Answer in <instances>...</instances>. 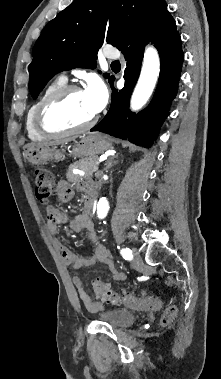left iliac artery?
Listing matches in <instances>:
<instances>
[{"label":"left iliac artery","mask_w":221,"mask_h":379,"mask_svg":"<svg viewBox=\"0 0 221 379\" xmlns=\"http://www.w3.org/2000/svg\"><path fill=\"white\" fill-rule=\"evenodd\" d=\"M120 253L125 260H132L133 258L132 251L129 248H122Z\"/></svg>","instance_id":"obj_1"}]
</instances>
